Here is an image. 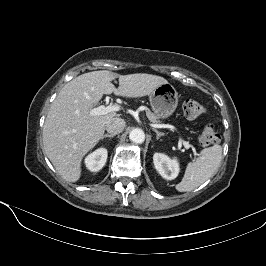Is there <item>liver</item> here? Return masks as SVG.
<instances>
[{
	"label": "liver",
	"mask_w": 266,
	"mask_h": 266,
	"mask_svg": "<svg viewBox=\"0 0 266 266\" xmlns=\"http://www.w3.org/2000/svg\"><path fill=\"white\" fill-rule=\"evenodd\" d=\"M116 78L118 89L111 83ZM165 83L168 81L161 76L119 75L107 70L85 73L68 82L52 103L43 127L44 150L57 172L68 182L80 179L83 157L99 142L107 122L117 116L114 112L91 115L104 94L143 97Z\"/></svg>",
	"instance_id": "6515ba94"
}]
</instances>
